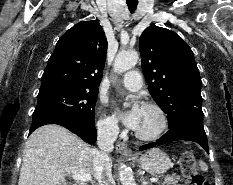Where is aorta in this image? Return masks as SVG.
Returning a JSON list of instances; mask_svg holds the SVG:
<instances>
[{
    "instance_id": "aorta-1",
    "label": "aorta",
    "mask_w": 233,
    "mask_h": 185,
    "mask_svg": "<svg viewBox=\"0 0 233 185\" xmlns=\"http://www.w3.org/2000/svg\"><path fill=\"white\" fill-rule=\"evenodd\" d=\"M138 53L136 51H120L114 60V71L123 73L133 68L138 62ZM124 106H128L127 103ZM119 177L122 185H136L132 171L126 166L119 168Z\"/></svg>"
}]
</instances>
